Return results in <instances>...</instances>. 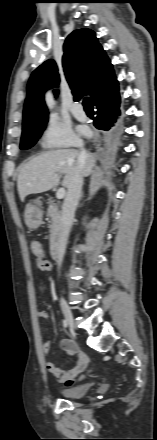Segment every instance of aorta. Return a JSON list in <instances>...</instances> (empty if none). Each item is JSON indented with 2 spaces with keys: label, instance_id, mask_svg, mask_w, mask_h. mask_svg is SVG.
Segmentation results:
<instances>
[{
  "label": "aorta",
  "instance_id": "1",
  "mask_svg": "<svg viewBox=\"0 0 157 440\" xmlns=\"http://www.w3.org/2000/svg\"><path fill=\"white\" fill-rule=\"evenodd\" d=\"M46 103L50 109L53 108L55 105V101L51 92H48L46 94Z\"/></svg>",
  "mask_w": 157,
  "mask_h": 440
}]
</instances>
